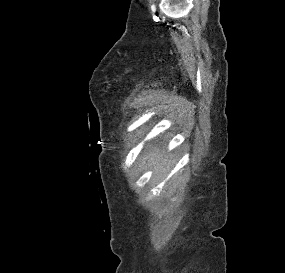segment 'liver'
Instances as JSON below:
<instances>
[{"mask_svg":"<svg viewBox=\"0 0 285 273\" xmlns=\"http://www.w3.org/2000/svg\"><path fill=\"white\" fill-rule=\"evenodd\" d=\"M161 157H162V155L158 152H153L150 155V165L156 164V171L157 172H160L161 170H163L167 164L168 157L167 156H164L162 158Z\"/></svg>","mask_w":285,"mask_h":273,"instance_id":"1","label":"liver"}]
</instances>
